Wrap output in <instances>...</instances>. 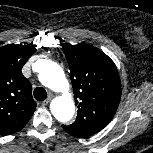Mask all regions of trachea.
Here are the masks:
<instances>
[{"label": "trachea", "mask_w": 153, "mask_h": 153, "mask_svg": "<svg viewBox=\"0 0 153 153\" xmlns=\"http://www.w3.org/2000/svg\"><path fill=\"white\" fill-rule=\"evenodd\" d=\"M34 98L37 100V101H44L46 98H47V92L44 88L42 87H36L34 89Z\"/></svg>", "instance_id": "3493384b"}]
</instances>
